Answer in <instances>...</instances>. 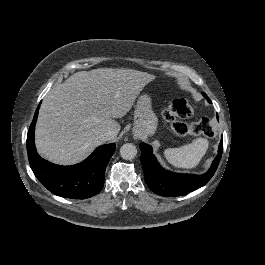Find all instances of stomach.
<instances>
[{
  "label": "stomach",
  "instance_id": "stomach-1",
  "mask_svg": "<svg viewBox=\"0 0 265 265\" xmlns=\"http://www.w3.org/2000/svg\"><path fill=\"white\" fill-rule=\"evenodd\" d=\"M152 104L153 100L149 93L139 94L134 108V134L140 139L152 137L157 132L159 121Z\"/></svg>",
  "mask_w": 265,
  "mask_h": 265
}]
</instances>
